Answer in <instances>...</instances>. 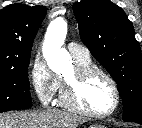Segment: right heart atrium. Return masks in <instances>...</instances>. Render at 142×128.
Here are the masks:
<instances>
[{
	"label": "right heart atrium",
	"instance_id": "1",
	"mask_svg": "<svg viewBox=\"0 0 142 128\" xmlns=\"http://www.w3.org/2000/svg\"><path fill=\"white\" fill-rule=\"evenodd\" d=\"M29 77L37 99L43 105L51 104L61 88V80L42 57L36 56L32 60Z\"/></svg>",
	"mask_w": 142,
	"mask_h": 128
}]
</instances>
